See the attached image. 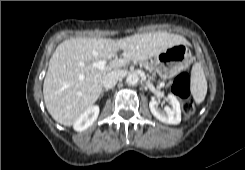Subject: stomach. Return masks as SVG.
Masks as SVG:
<instances>
[{"instance_id":"1","label":"stomach","mask_w":245,"mask_h":170,"mask_svg":"<svg viewBox=\"0 0 245 170\" xmlns=\"http://www.w3.org/2000/svg\"><path fill=\"white\" fill-rule=\"evenodd\" d=\"M153 62L157 74L162 79H168L187 69L192 55L186 44H178L156 55Z\"/></svg>"}]
</instances>
